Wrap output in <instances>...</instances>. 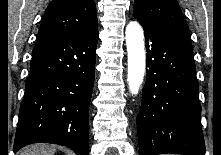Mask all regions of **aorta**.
<instances>
[{"mask_svg":"<svg viewBox=\"0 0 221 155\" xmlns=\"http://www.w3.org/2000/svg\"><path fill=\"white\" fill-rule=\"evenodd\" d=\"M125 34L128 53L129 91L132 95H136L139 92L145 73L144 33L140 24L132 21L127 25Z\"/></svg>","mask_w":221,"mask_h":155,"instance_id":"1","label":"aorta"}]
</instances>
